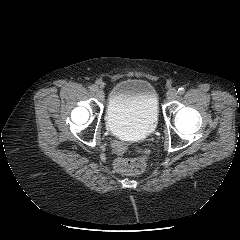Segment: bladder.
<instances>
[{"mask_svg":"<svg viewBox=\"0 0 240 240\" xmlns=\"http://www.w3.org/2000/svg\"><path fill=\"white\" fill-rule=\"evenodd\" d=\"M159 118L157 92L143 78H128L111 89L106 109V127L116 136L135 138L153 132Z\"/></svg>","mask_w":240,"mask_h":240,"instance_id":"1","label":"bladder"}]
</instances>
